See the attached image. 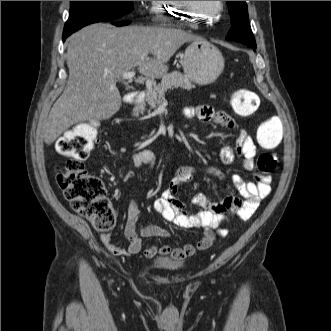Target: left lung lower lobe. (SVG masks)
Listing matches in <instances>:
<instances>
[{
	"label": "left lung lower lobe",
	"instance_id": "obj_1",
	"mask_svg": "<svg viewBox=\"0 0 331 331\" xmlns=\"http://www.w3.org/2000/svg\"><path fill=\"white\" fill-rule=\"evenodd\" d=\"M250 47H252L254 50L256 49V45L255 46H250Z\"/></svg>",
	"mask_w": 331,
	"mask_h": 331
}]
</instances>
